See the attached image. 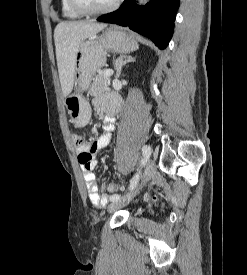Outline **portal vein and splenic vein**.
Returning <instances> with one entry per match:
<instances>
[{
  "label": "portal vein and splenic vein",
  "mask_w": 247,
  "mask_h": 275,
  "mask_svg": "<svg viewBox=\"0 0 247 275\" xmlns=\"http://www.w3.org/2000/svg\"><path fill=\"white\" fill-rule=\"evenodd\" d=\"M113 73H114L113 70L107 69V70L103 71V76L108 78V77L112 76Z\"/></svg>",
  "instance_id": "1"
}]
</instances>
